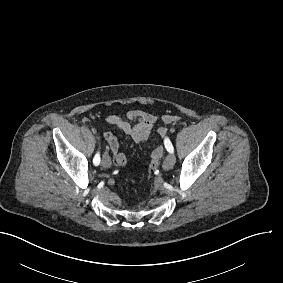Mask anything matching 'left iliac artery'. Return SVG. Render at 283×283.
<instances>
[{"label":"left iliac artery","instance_id":"left-iliac-artery-1","mask_svg":"<svg viewBox=\"0 0 283 283\" xmlns=\"http://www.w3.org/2000/svg\"><path fill=\"white\" fill-rule=\"evenodd\" d=\"M164 144H165V148L167 149V151L169 153H173L174 148H173V145L168 138L165 139Z\"/></svg>","mask_w":283,"mask_h":283}]
</instances>
